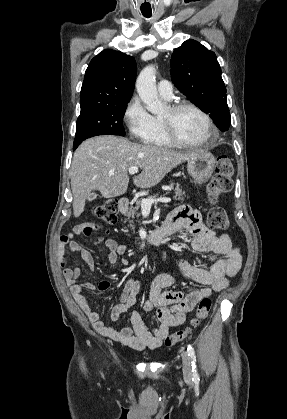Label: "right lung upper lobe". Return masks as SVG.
Wrapping results in <instances>:
<instances>
[{
	"mask_svg": "<svg viewBox=\"0 0 287 419\" xmlns=\"http://www.w3.org/2000/svg\"><path fill=\"white\" fill-rule=\"evenodd\" d=\"M136 72L133 57L115 50L99 53L85 72L80 94L81 111L105 104L129 102Z\"/></svg>",
	"mask_w": 287,
	"mask_h": 419,
	"instance_id": "obj_1",
	"label": "right lung upper lobe"
}]
</instances>
